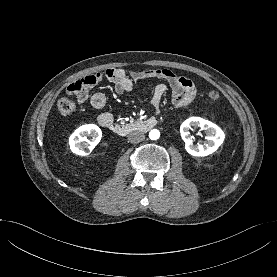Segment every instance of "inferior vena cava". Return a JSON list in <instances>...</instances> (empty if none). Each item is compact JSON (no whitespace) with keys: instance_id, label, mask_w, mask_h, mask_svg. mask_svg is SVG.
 <instances>
[{"instance_id":"602c4592","label":"inferior vena cava","mask_w":277,"mask_h":277,"mask_svg":"<svg viewBox=\"0 0 277 277\" xmlns=\"http://www.w3.org/2000/svg\"><path fill=\"white\" fill-rule=\"evenodd\" d=\"M144 139H145V135L138 131L132 132L128 135L129 142L134 143V144L140 143Z\"/></svg>"}]
</instances>
